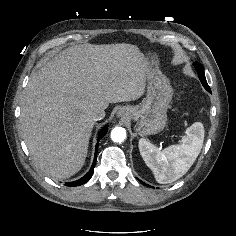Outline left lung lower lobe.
<instances>
[{
    "label": "left lung lower lobe",
    "instance_id": "obj_1",
    "mask_svg": "<svg viewBox=\"0 0 236 236\" xmlns=\"http://www.w3.org/2000/svg\"><path fill=\"white\" fill-rule=\"evenodd\" d=\"M139 180V179H138ZM142 184H144V185H146V186H149V185H147V184H145L144 182H142L141 180H139Z\"/></svg>",
    "mask_w": 236,
    "mask_h": 236
}]
</instances>
